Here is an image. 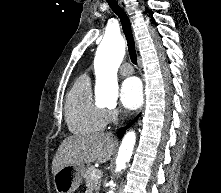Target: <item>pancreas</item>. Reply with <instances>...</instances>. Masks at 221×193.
<instances>
[{
  "mask_svg": "<svg viewBox=\"0 0 221 193\" xmlns=\"http://www.w3.org/2000/svg\"><path fill=\"white\" fill-rule=\"evenodd\" d=\"M95 170H96V168L94 166H90L87 168V170L84 174L86 186L89 188L90 193H92L93 191L95 193H99L98 191L100 190V183H101L100 176L97 178L91 177L93 171H95Z\"/></svg>",
  "mask_w": 221,
  "mask_h": 193,
  "instance_id": "cf45deb5",
  "label": "pancreas"
}]
</instances>
